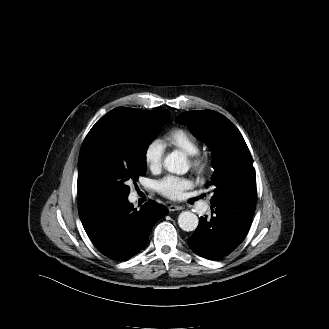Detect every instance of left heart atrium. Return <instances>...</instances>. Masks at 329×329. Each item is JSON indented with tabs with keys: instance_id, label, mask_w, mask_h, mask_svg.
Segmentation results:
<instances>
[{
	"instance_id": "39dd6f15",
	"label": "left heart atrium",
	"mask_w": 329,
	"mask_h": 329,
	"mask_svg": "<svg viewBox=\"0 0 329 329\" xmlns=\"http://www.w3.org/2000/svg\"><path fill=\"white\" fill-rule=\"evenodd\" d=\"M192 185V181L188 178L167 175L157 182L156 188L163 196L178 200L183 198L184 192L190 189Z\"/></svg>"
}]
</instances>
